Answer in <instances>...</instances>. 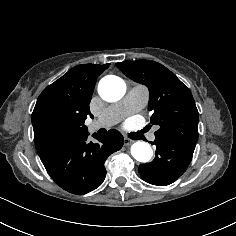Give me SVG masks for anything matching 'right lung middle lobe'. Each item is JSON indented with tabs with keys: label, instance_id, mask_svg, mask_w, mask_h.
<instances>
[{
	"label": "right lung middle lobe",
	"instance_id": "1",
	"mask_svg": "<svg viewBox=\"0 0 236 236\" xmlns=\"http://www.w3.org/2000/svg\"><path fill=\"white\" fill-rule=\"evenodd\" d=\"M85 117L72 120H56L48 122L42 130L43 143L52 140L77 136L87 131Z\"/></svg>",
	"mask_w": 236,
	"mask_h": 236
}]
</instances>
